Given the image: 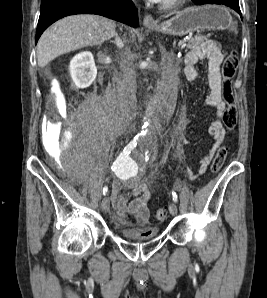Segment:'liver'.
Returning a JSON list of instances; mask_svg holds the SVG:
<instances>
[{
    "label": "liver",
    "instance_id": "obj_1",
    "mask_svg": "<svg viewBox=\"0 0 267 298\" xmlns=\"http://www.w3.org/2000/svg\"><path fill=\"white\" fill-rule=\"evenodd\" d=\"M116 24L97 15H73L46 30L37 44V61L45 67L56 57L84 47L101 45L115 36Z\"/></svg>",
    "mask_w": 267,
    "mask_h": 298
}]
</instances>
